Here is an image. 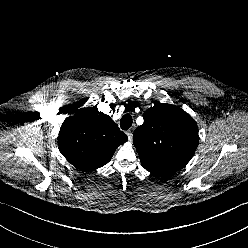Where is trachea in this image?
I'll list each match as a JSON object with an SVG mask.
<instances>
[{
    "label": "trachea",
    "instance_id": "3493384b",
    "mask_svg": "<svg viewBox=\"0 0 248 248\" xmlns=\"http://www.w3.org/2000/svg\"><path fill=\"white\" fill-rule=\"evenodd\" d=\"M133 123L132 116L130 114H125L120 120V127L122 130H128Z\"/></svg>",
    "mask_w": 248,
    "mask_h": 248
}]
</instances>
